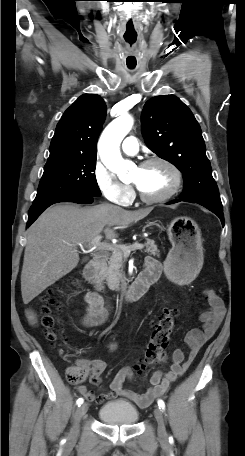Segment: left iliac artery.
<instances>
[{"label": "left iliac artery", "instance_id": "44dca946", "mask_svg": "<svg viewBox=\"0 0 245 456\" xmlns=\"http://www.w3.org/2000/svg\"><path fill=\"white\" fill-rule=\"evenodd\" d=\"M158 406L160 409L164 410L165 409V403L163 400L159 399L158 400Z\"/></svg>", "mask_w": 245, "mask_h": 456}]
</instances>
